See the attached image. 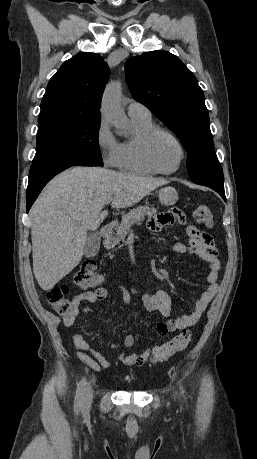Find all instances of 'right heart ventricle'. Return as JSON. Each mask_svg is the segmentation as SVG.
I'll return each mask as SVG.
<instances>
[{"label": "right heart ventricle", "mask_w": 257, "mask_h": 459, "mask_svg": "<svg viewBox=\"0 0 257 459\" xmlns=\"http://www.w3.org/2000/svg\"><path fill=\"white\" fill-rule=\"evenodd\" d=\"M134 134L119 143L115 166L124 172L136 175H153L156 172L146 163L142 142L145 135L155 127L151 117L130 116Z\"/></svg>", "instance_id": "e07e8e85"}]
</instances>
